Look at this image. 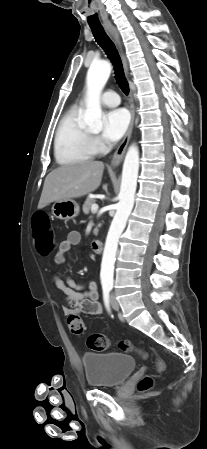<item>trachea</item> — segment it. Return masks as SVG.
Listing matches in <instances>:
<instances>
[{
    "instance_id": "3493384b",
    "label": "trachea",
    "mask_w": 207,
    "mask_h": 449,
    "mask_svg": "<svg viewBox=\"0 0 207 449\" xmlns=\"http://www.w3.org/2000/svg\"><path fill=\"white\" fill-rule=\"evenodd\" d=\"M92 33L96 39V42L100 45V47L104 50L108 58L111 60L114 70H115V78L117 83L119 84L122 91L128 95L129 93V84L125 77L122 62L118 51L111 41V39L106 35L103 27L100 26H90Z\"/></svg>"
}]
</instances>
